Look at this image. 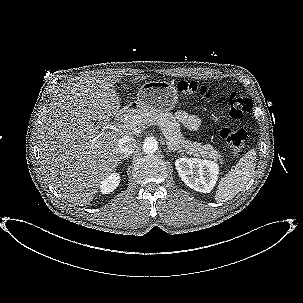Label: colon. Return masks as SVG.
Listing matches in <instances>:
<instances>
[{
  "instance_id": "obj_1",
  "label": "colon",
  "mask_w": 303,
  "mask_h": 303,
  "mask_svg": "<svg viewBox=\"0 0 303 303\" xmlns=\"http://www.w3.org/2000/svg\"><path fill=\"white\" fill-rule=\"evenodd\" d=\"M180 90L187 94H199L203 97H209L210 92L204 86H199L193 82H182ZM252 108L250 99L241 96L238 93H231L227 98V114L233 123L239 122L243 116ZM222 138L228 143L232 153L236 156L243 154L247 139L244 129L237 125L225 126L221 129Z\"/></svg>"
}]
</instances>
